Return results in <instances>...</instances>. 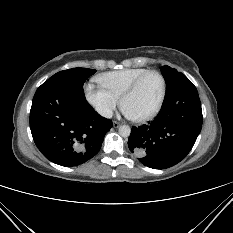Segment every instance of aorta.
<instances>
[{"label":"aorta","mask_w":233,"mask_h":233,"mask_svg":"<svg viewBox=\"0 0 233 233\" xmlns=\"http://www.w3.org/2000/svg\"><path fill=\"white\" fill-rule=\"evenodd\" d=\"M118 131L122 137H128L131 133V128L128 125H122Z\"/></svg>","instance_id":"1"}]
</instances>
